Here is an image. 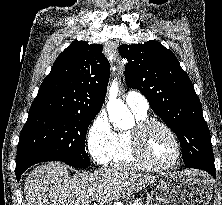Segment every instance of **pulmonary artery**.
Instances as JSON below:
<instances>
[{"mask_svg": "<svg viewBox=\"0 0 222 205\" xmlns=\"http://www.w3.org/2000/svg\"><path fill=\"white\" fill-rule=\"evenodd\" d=\"M126 104L135 111L147 113L149 104L147 99L137 91H129L125 96Z\"/></svg>", "mask_w": 222, "mask_h": 205, "instance_id": "e3ab8cb5", "label": "pulmonary artery"}]
</instances>
